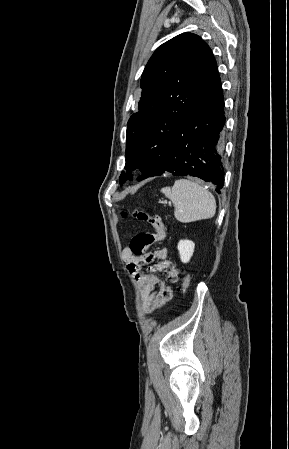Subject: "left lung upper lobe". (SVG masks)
Masks as SVG:
<instances>
[{
    "instance_id": "left-lung-upper-lobe-1",
    "label": "left lung upper lobe",
    "mask_w": 289,
    "mask_h": 449,
    "mask_svg": "<svg viewBox=\"0 0 289 449\" xmlns=\"http://www.w3.org/2000/svg\"><path fill=\"white\" fill-rule=\"evenodd\" d=\"M210 47L192 33H183L162 44L148 61L141 77L139 111L127 124V175L137 168L143 180L155 175L166 157V145L176 125L194 107L207 76L215 65Z\"/></svg>"
}]
</instances>
